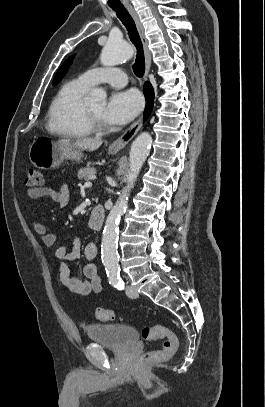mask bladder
Segmentation results:
<instances>
[{"instance_id": "bladder-1", "label": "bladder", "mask_w": 265, "mask_h": 407, "mask_svg": "<svg viewBox=\"0 0 265 407\" xmlns=\"http://www.w3.org/2000/svg\"><path fill=\"white\" fill-rule=\"evenodd\" d=\"M85 331L91 341L114 349H123L139 339L138 331L130 325L91 324Z\"/></svg>"}]
</instances>
